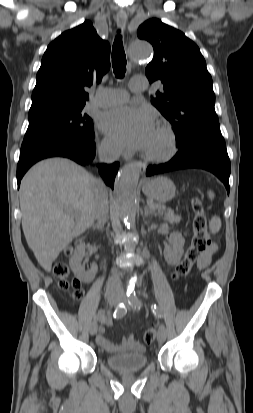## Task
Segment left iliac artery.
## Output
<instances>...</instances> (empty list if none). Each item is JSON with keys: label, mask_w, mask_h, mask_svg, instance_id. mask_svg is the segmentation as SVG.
Returning <instances> with one entry per match:
<instances>
[{"label": "left iliac artery", "mask_w": 253, "mask_h": 413, "mask_svg": "<svg viewBox=\"0 0 253 413\" xmlns=\"http://www.w3.org/2000/svg\"><path fill=\"white\" fill-rule=\"evenodd\" d=\"M127 296H128V303H129V305H130L132 308L136 309V308H139V307H140L141 302H140V300L138 299V297H137V295H136V293H135V291H134L133 289H131V290H129V291L127 292ZM152 310H153V312H154V314H155L156 316L161 317L162 313H161V311L156 307V305H154V307H153Z\"/></svg>", "instance_id": "44dca946"}]
</instances>
